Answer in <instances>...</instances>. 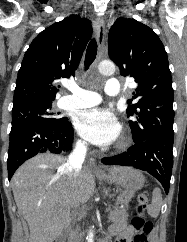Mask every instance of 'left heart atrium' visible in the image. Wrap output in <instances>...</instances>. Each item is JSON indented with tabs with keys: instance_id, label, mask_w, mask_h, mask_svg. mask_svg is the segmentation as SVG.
Segmentation results:
<instances>
[{
	"instance_id": "39dd6f15",
	"label": "left heart atrium",
	"mask_w": 187,
	"mask_h": 242,
	"mask_svg": "<svg viewBox=\"0 0 187 242\" xmlns=\"http://www.w3.org/2000/svg\"><path fill=\"white\" fill-rule=\"evenodd\" d=\"M80 135L96 145H109L120 134V124L107 109L91 108L78 113L75 121Z\"/></svg>"
}]
</instances>
